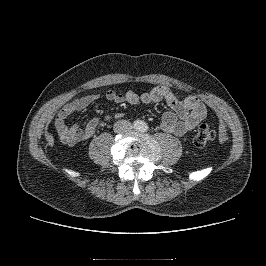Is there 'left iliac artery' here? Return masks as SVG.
Returning <instances> with one entry per match:
<instances>
[{
  "label": "left iliac artery",
  "instance_id": "obj_1",
  "mask_svg": "<svg viewBox=\"0 0 266 266\" xmlns=\"http://www.w3.org/2000/svg\"><path fill=\"white\" fill-rule=\"evenodd\" d=\"M148 125L146 123H142L141 127H140V130L142 132H146L148 130Z\"/></svg>",
  "mask_w": 266,
  "mask_h": 266
}]
</instances>
